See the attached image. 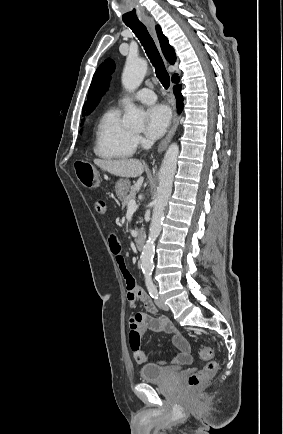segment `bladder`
<instances>
[{
  "mask_svg": "<svg viewBox=\"0 0 283 434\" xmlns=\"http://www.w3.org/2000/svg\"><path fill=\"white\" fill-rule=\"evenodd\" d=\"M178 372L176 368L147 364L140 371V379L144 382H159L177 376Z\"/></svg>",
  "mask_w": 283,
  "mask_h": 434,
  "instance_id": "bladder-1",
  "label": "bladder"
}]
</instances>
